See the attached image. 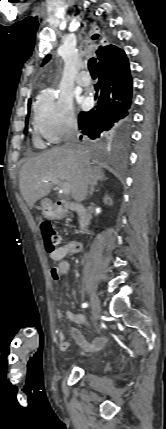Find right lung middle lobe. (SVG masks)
<instances>
[{
	"instance_id": "right-lung-middle-lobe-1",
	"label": "right lung middle lobe",
	"mask_w": 166,
	"mask_h": 429,
	"mask_svg": "<svg viewBox=\"0 0 166 429\" xmlns=\"http://www.w3.org/2000/svg\"><path fill=\"white\" fill-rule=\"evenodd\" d=\"M30 103H31V101H29V105L28 106H30ZM27 125H28V122L26 120V129H27Z\"/></svg>"
}]
</instances>
